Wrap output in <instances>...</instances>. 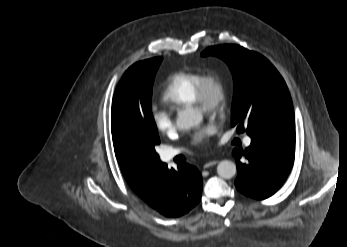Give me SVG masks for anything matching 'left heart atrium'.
<instances>
[{
	"label": "left heart atrium",
	"mask_w": 347,
	"mask_h": 247,
	"mask_svg": "<svg viewBox=\"0 0 347 247\" xmlns=\"http://www.w3.org/2000/svg\"><path fill=\"white\" fill-rule=\"evenodd\" d=\"M216 131V125L212 122L203 124L193 134L192 140L196 144H202Z\"/></svg>",
	"instance_id": "left-heart-atrium-1"
}]
</instances>
